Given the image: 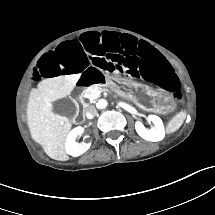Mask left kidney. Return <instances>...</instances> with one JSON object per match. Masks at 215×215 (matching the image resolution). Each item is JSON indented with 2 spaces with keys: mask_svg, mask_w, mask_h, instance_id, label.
I'll use <instances>...</instances> for the list:
<instances>
[{
  "mask_svg": "<svg viewBox=\"0 0 215 215\" xmlns=\"http://www.w3.org/2000/svg\"><path fill=\"white\" fill-rule=\"evenodd\" d=\"M148 119L153 122L155 128L146 129L142 122L137 121L135 123V129L138 135L143 139L151 142H158L163 140L165 137V130L160 117L156 115H149Z\"/></svg>",
  "mask_w": 215,
  "mask_h": 215,
  "instance_id": "1",
  "label": "left kidney"
}]
</instances>
